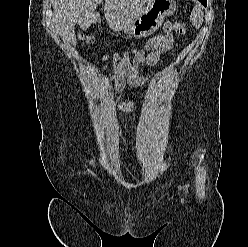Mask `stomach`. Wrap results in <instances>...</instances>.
Segmentation results:
<instances>
[{"label":"stomach","mask_w":248,"mask_h":247,"mask_svg":"<svg viewBox=\"0 0 248 247\" xmlns=\"http://www.w3.org/2000/svg\"><path fill=\"white\" fill-rule=\"evenodd\" d=\"M176 10L175 0H148L138 17L122 30L130 37L142 38L151 35Z\"/></svg>","instance_id":"0dacf381"}]
</instances>
